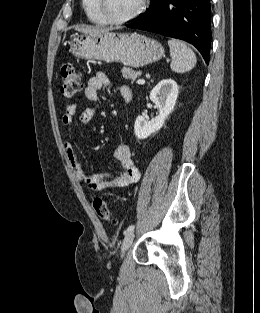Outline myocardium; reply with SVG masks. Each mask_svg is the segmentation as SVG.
<instances>
[{
  "label": "myocardium",
  "instance_id": "myocardium-1",
  "mask_svg": "<svg viewBox=\"0 0 260 313\" xmlns=\"http://www.w3.org/2000/svg\"><path fill=\"white\" fill-rule=\"evenodd\" d=\"M146 3L147 0H140L137 7L130 14L121 18H114L107 13L105 8V0H95L96 9L100 16L102 17V19L107 24L114 25L124 24L137 18L144 11Z\"/></svg>",
  "mask_w": 260,
  "mask_h": 313
}]
</instances>
